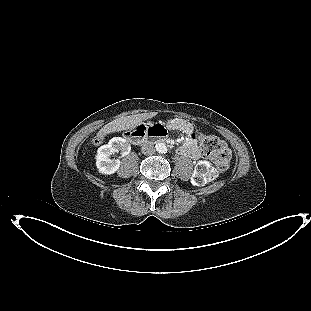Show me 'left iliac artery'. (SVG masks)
Wrapping results in <instances>:
<instances>
[{
	"mask_svg": "<svg viewBox=\"0 0 311 311\" xmlns=\"http://www.w3.org/2000/svg\"><path fill=\"white\" fill-rule=\"evenodd\" d=\"M164 153H166L167 152V150L166 149H164V151H163Z\"/></svg>",
	"mask_w": 311,
	"mask_h": 311,
	"instance_id": "left-iliac-artery-1",
	"label": "left iliac artery"
}]
</instances>
